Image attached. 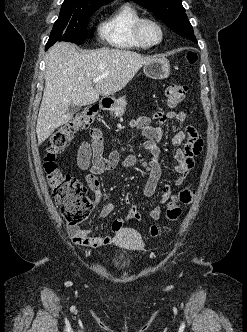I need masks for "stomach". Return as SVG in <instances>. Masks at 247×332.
I'll return each instance as SVG.
<instances>
[{"label": "stomach", "mask_w": 247, "mask_h": 332, "mask_svg": "<svg viewBox=\"0 0 247 332\" xmlns=\"http://www.w3.org/2000/svg\"><path fill=\"white\" fill-rule=\"evenodd\" d=\"M143 71L150 78L157 80L165 79L170 74L169 61L156 57L144 65Z\"/></svg>", "instance_id": "obj_1"}]
</instances>
